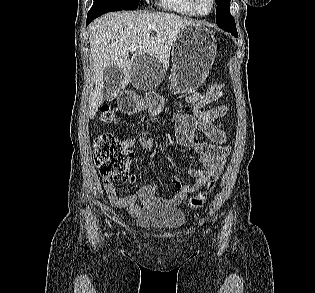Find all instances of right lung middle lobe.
<instances>
[{"instance_id":"obj_1","label":"right lung middle lobe","mask_w":315,"mask_h":293,"mask_svg":"<svg viewBox=\"0 0 315 293\" xmlns=\"http://www.w3.org/2000/svg\"><path fill=\"white\" fill-rule=\"evenodd\" d=\"M140 0H94V3L108 2L125 10H133L138 7Z\"/></svg>"}]
</instances>
